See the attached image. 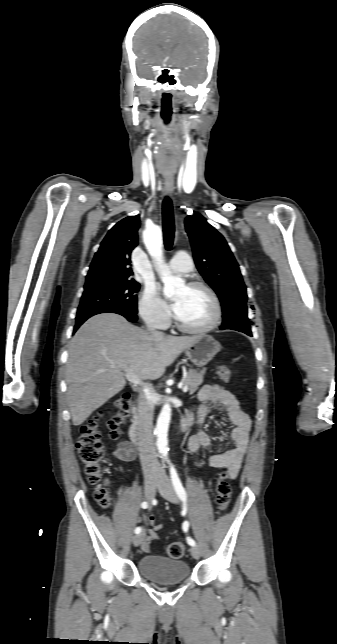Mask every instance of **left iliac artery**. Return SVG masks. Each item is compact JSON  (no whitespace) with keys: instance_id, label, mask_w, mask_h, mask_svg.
<instances>
[{"instance_id":"obj_1","label":"left iliac artery","mask_w":337,"mask_h":644,"mask_svg":"<svg viewBox=\"0 0 337 644\" xmlns=\"http://www.w3.org/2000/svg\"><path fill=\"white\" fill-rule=\"evenodd\" d=\"M170 465H171L170 466V476H171V480H172V484L174 486V489H175L177 495L179 496V498L182 501H186V499H187L186 491H185V489H184V487H183V485H182V483L180 481V478H179V476L177 474L176 469L174 468V466L172 464H170ZM188 528H189V522L185 521L183 523V525H182V529H183L184 532H187ZM186 540H187V543L189 545H191V546L196 545V542L191 537H187Z\"/></svg>"}]
</instances>
